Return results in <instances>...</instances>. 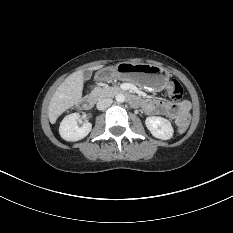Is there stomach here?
Instances as JSON below:
<instances>
[{"mask_svg":"<svg viewBox=\"0 0 233 233\" xmlns=\"http://www.w3.org/2000/svg\"><path fill=\"white\" fill-rule=\"evenodd\" d=\"M113 79L128 80L145 89L161 91L169 81V73L164 68L152 64L121 62L103 68L95 75V80L98 82Z\"/></svg>","mask_w":233,"mask_h":233,"instance_id":"1","label":"stomach"}]
</instances>
